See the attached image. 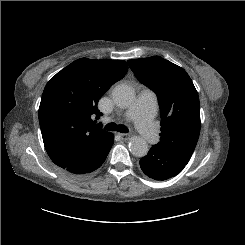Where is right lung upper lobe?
Returning <instances> with one entry per match:
<instances>
[{"mask_svg":"<svg viewBox=\"0 0 245 245\" xmlns=\"http://www.w3.org/2000/svg\"><path fill=\"white\" fill-rule=\"evenodd\" d=\"M128 70L123 60L78 59L45 86L39 123L46 151L61 168L79 161L108 132L95 124L99 99Z\"/></svg>","mask_w":245,"mask_h":245,"instance_id":"right-lung-upper-lobe-1","label":"right lung upper lobe"}]
</instances>
